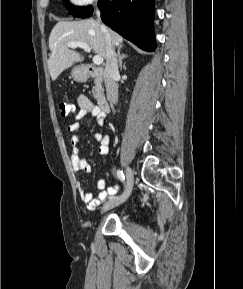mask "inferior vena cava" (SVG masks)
<instances>
[{
	"label": "inferior vena cava",
	"instance_id": "obj_1",
	"mask_svg": "<svg viewBox=\"0 0 243 289\" xmlns=\"http://www.w3.org/2000/svg\"><path fill=\"white\" fill-rule=\"evenodd\" d=\"M97 15L99 17V11L97 10ZM101 29L104 33L106 40V66L104 70V81L106 86L107 98L112 103H117L118 101V86L115 80L119 77L118 64L116 59V53L111 44V37L108 29L102 25Z\"/></svg>",
	"mask_w": 243,
	"mask_h": 289
}]
</instances>
